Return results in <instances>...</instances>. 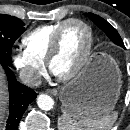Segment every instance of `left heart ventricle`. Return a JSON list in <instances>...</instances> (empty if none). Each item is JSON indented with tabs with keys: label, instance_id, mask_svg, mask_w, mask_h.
I'll list each match as a JSON object with an SVG mask.
<instances>
[{
	"label": "left heart ventricle",
	"instance_id": "1",
	"mask_svg": "<svg viewBox=\"0 0 130 130\" xmlns=\"http://www.w3.org/2000/svg\"><path fill=\"white\" fill-rule=\"evenodd\" d=\"M87 40V32L81 25H67L61 35L59 53L51 65L53 73L62 76L72 71L85 52Z\"/></svg>",
	"mask_w": 130,
	"mask_h": 130
}]
</instances>
